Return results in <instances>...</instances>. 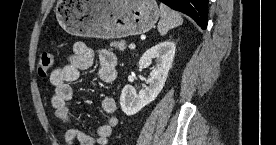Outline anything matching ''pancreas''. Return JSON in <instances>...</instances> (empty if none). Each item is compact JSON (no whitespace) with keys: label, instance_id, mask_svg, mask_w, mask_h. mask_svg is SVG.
I'll return each mask as SVG.
<instances>
[{"label":"pancreas","instance_id":"cf45deb5","mask_svg":"<svg viewBox=\"0 0 276 145\" xmlns=\"http://www.w3.org/2000/svg\"><path fill=\"white\" fill-rule=\"evenodd\" d=\"M110 45L119 51H124L126 49V42L124 40L112 42Z\"/></svg>","mask_w":276,"mask_h":145}]
</instances>
